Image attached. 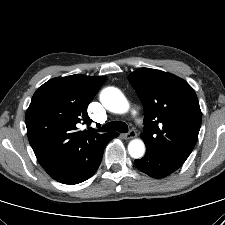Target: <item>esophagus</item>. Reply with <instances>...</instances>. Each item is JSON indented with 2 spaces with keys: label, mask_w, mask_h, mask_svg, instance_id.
<instances>
[{
  "label": "esophagus",
  "mask_w": 225,
  "mask_h": 225,
  "mask_svg": "<svg viewBox=\"0 0 225 225\" xmlns=\"http://www.w3.org/2000/svg\"><path fill=\"white\" fill-rule=\"evenodd\" d=\"M136 135L137 134H136L135 130H130L127 134H123L122 136L125 139H133L136 137Z\"/></svg>",
  "instance_id": "1"
}]
</instances>
